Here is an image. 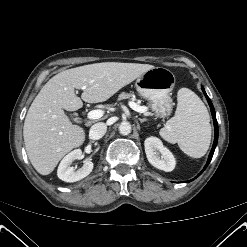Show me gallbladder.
<instances>
[{"label":"gallbladder","instance_id":"1","mask_svg":"<svg viewBox=\"0 0 247 247\" xmlns=\"http://www.w3.org/2000/svg\"><path fill=\"white\" fill-rule=\"evenodd\" d=\"M72 118H73V119H76V116H75V115H72Z\"/></svg>","mask_w":247,"mask_h":247}]
</instances>
